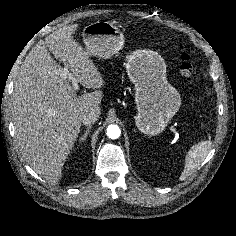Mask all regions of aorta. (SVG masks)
Masks as SVG:
<instances>
[{"instance_id": "762f6f07", "label": "aorta", "mask_w": 236, "mask_h": 236, "mask_svg": "<svg viewBox=\"0 0 236 236\" xmlns=\"http://www.w3.org/2000/svg\"><path fill=\"white\" fill-rule=\"evenodd\" d=\"M121 135V130L117 125H109L107 127V136L111 139H117Z\"/></svg>"}]
</instances>
